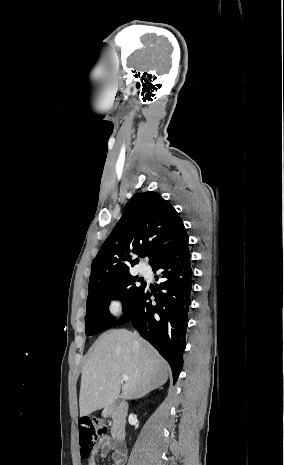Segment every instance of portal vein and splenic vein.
<instances>
[{
	"mask_svg": "<svg viewBox=\"0 0 284 465\" xmlns=\"http://www.w3.org/2000/svg\"><path fill=\"white\" fill-rule=\"evenodd\" d=\"M122 381H125V383H127V381H129L128 375H122Z\"/></svg>",
	"mask_w": 284,
	"mask_h": 465,
	"instance_id": "18ae733b",
	"label": "portal vein and splenic vein"
}]
</instances>
